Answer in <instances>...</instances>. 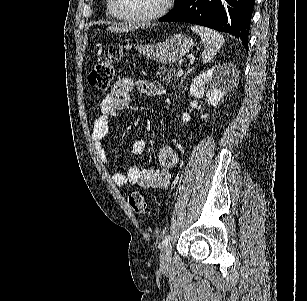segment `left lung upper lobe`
<instances>
[{
    "instance_id": "obj_1",
    "label": "left lung upper lobe",
    "mask_w": 307,
    "mask_h": 301,
    "mask_svg": "<svg viewBox=\"0 0 307 301\" xmlns=\"http://www.w3.org/2000/svg\"><path fill=\"white\" fill-rule=\"evenodd\" d=\"M182 0H177V3H176V5L179 3V2H181Z\"/></svg>"
}]
</instances>
